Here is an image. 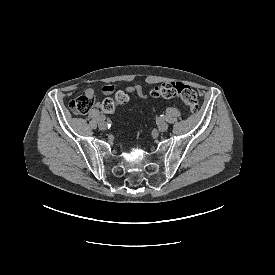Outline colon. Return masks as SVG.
Returning <instances> with one entry per match:
<instances>
[{
  "instance_id": "obj_1",
  "label": "colon",
  "mask_w": 275,
  "mask_h": 275,
  "mask_svg": "<svg viewBox=\"0 0 275 275\" xmlns=\"http://www.w3.org/2000/svg\"><path fill=\"white\" fill-rule=\"evenodd\" d=\"M151 95L155 98H179L188 107L191 113H196L199 109V101L196 91L189 85L180 81L164 82L155 86ZM129 96L125 91L116 92L114 97L105 98L102 101V110L111 114L118 106L128 103ZM94 99L92 96L83 95L70 102V109L77 115H84L93 107Z\"/></svg>"
}]
</instances>
